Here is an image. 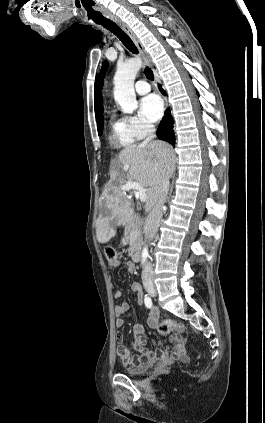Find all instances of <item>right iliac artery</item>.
Returning a JSON list of instances; mask_svg holds the SVG:
<instances>
[{
  "mask_svg": "<svg viewBox=\"0 0 265 423\" xmlns=\"http://www.w3.org/2000/svg\"><path fill=\"white\" fill-rule=\"evenodd\" d=\"M144 303H145V305H146L147 308H151V306H152V300H151V298L148 295H145Z\"/></svg>",
  "mask_w": 265,
  "mask_h": 423,
  "instance_id": "obj_1",
  "label": "right iliac artery"
}]
</instances>
